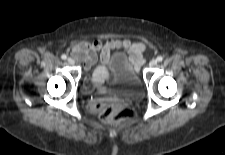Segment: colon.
Segmentation results:
<instances>
[{"label": "colon", "instance_id": "5ec220e1", "mask_svg": "<svg viewBox=\"0 0 225 155\" xmlns=\"http://www.w3.org/2000/svg\"><path fill=\"white\" fill-rule=\"evenodd\" d=\"M100 108V117L106 123H116L123 120H132L136 112L131 107L124 106L118 100L98 105Z\"/></svg>", "mask_w": 225, "mask_h": 155}]
</instances>
